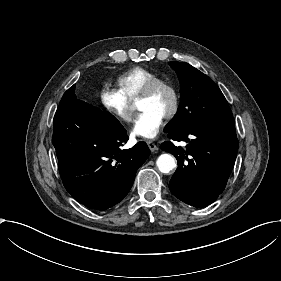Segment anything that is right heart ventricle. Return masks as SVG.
I'll list each match as a JSON object with an SVG mask.
<instances>
[{
    "label": "right heart ventricle",
    "mask_w": 281,
    "mask_h": 281,
    "mask_svg": "<svg viewBox=\"0 0 281 281\" xmlns=\"http://www.w3.org/2000/svg\"><path fill=\"white\" fill-rule=\"evenodd\" d=\"M158 78L159 75L154 71L137 66L120 75L117 78L116 83L121 95L128 102L134 103L137 101L147 84Z\"/></svg>",
    "instance_id": "obj_1"
}]
</instances>
